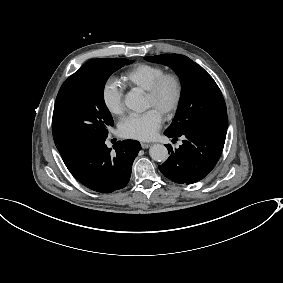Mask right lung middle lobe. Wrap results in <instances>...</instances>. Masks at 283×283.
<instances>
[{
    "label": "right lung middle lobe",
    "instance_id": "dd1d6c3e",
    "mask_svg": "<svg viewBox=\"0 0 283 283\" xmlns=\"http://www.w3.org/2000/svg\"><path fill=\"white\" fill-rule=\"evenodd\" d=\"M134 60L99 58L86 62L61 86L53 112L52 131L61 155L76 152L108 135L112 116L103 97L109 76Z\"/></svg>",
    "mask_w": 283,
    "mask_h": 283
}]
</instances>
